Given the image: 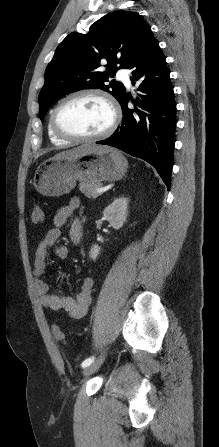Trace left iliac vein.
Segmentation results:
<instances>
[{
  "label": "left iliac vein",
  "instance_id": "left-iliac-vein-1",
  "mask_svg": "<svg viewBox=\"0 0 219 447\" xmlns=\"http://www.w3.org/2000/svg\"><path fill=\"white\" fill-rule=\"evenodd\" d=\"M105 355H106V352H104L96 361H94L90 365L86 366L82 371L83 375L90 376L93 373H95L100 368L102 363L104 362Z\"/></svg>",
  "mask_w": 219,
  "mask_h": 447
}]
</instances>
